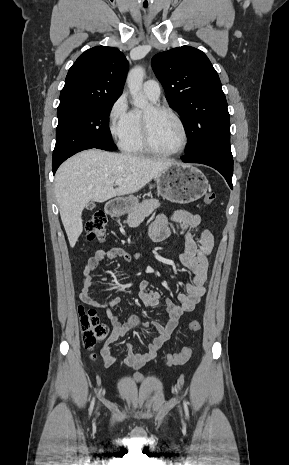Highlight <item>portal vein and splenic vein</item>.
<instances>
[{"label": "portal vein and splenic vein", "instance_id": "obj_1", "mask_svg": "<svg viewBox=\"0 0 289 465\" xmlns=\"http://www.w3.org/2000/svg\"><path fill=\"white\" fill-rule=\"evenodd\" d=\"M122 183H123V180H122V179H118V180H116V182H115V184L118 185V186L121 185Z\"/></svg>", "mask_w": 289, "mask_h": 465}]
</instances>
